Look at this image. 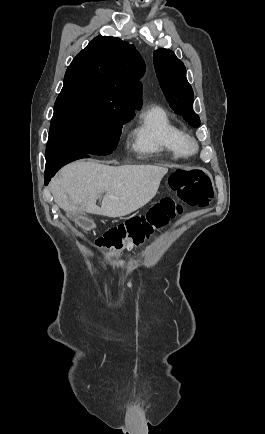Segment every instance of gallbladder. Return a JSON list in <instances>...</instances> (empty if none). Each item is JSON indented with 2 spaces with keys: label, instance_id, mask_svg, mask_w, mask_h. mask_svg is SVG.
Wrapping results in <instances>:
<instances>
[{
  "label": "gallbladder",
  "instance_id": "gallbladder-1",
  "mask_svg": "<svg viewBox=\"0 0 265 434\" xmlns=\"http://www.w3.org/2000/svg\"><path fill=\"white\" fill-rule=\"evenodd\" d=\"M78 224L82 227V229H90L91 221L89 219H86V217L83 214H80L77 217Z\"/></svg>",
  "mask_w": 265,
  "mask_h": 434
}]
</instances>
